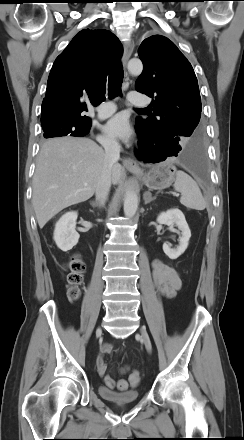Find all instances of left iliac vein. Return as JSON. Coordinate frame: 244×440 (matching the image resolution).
<instances>
[{
    "label": "left iliac vein",
    "mask_w": 244,
    "mask_h": 440,
    "mask_svg": "<svg viewBox=\"0 0 244 440\" xmlns=\"http://www.w3.org/2000/svg\"><path fill=\"white\" fill-rule=\"evenodd\" d=\"M140 334H141L142 341H143L147 351L150 353L152 351V345H151L149 335H148L147 331L145 330V328H141Z\"/></svg>",
    "instance_id": "1"
}]
</instances>
